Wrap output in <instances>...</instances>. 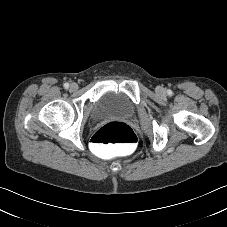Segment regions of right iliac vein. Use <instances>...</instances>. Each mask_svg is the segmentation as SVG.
Segmentation results:
<instances>
[{
    "mask_svg": "<svg viewBox=\"0 0 227 227\" xmlns=\"http://www.w3.org/2000/svg\"><path fill=\"white\" fill-rule=\"evenodd\" d=\"M77 89H78L77 83H72V84L70 85V90H71V91H75V90H77Z\"/></svg>",
    "mask_w": 227,
    "mask_h": 227,
    "instance_id": "right-iliac-vein-1",
    "label": "right iliac vein"
}]
</instances>
